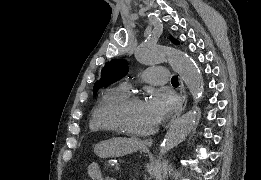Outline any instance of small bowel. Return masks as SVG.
Listing matches in <instances>:
<instances>
[{
  "label": "small bowel",
  "instance_id": "obj_1",
  "mask_svg": "<svg viewBox=\"0 0 261 180\" xmlns=\"http://www.w3.org/2000/svg\"><path fill=\"white\" fill-rule=\"evenodd\" d=\"M87 175L91 180H103V175H102L101 169L95 163H91L88 165Z\"/></svg>",
  "mask_w": 261,
  "mask_h": 180
}]
</instances>
